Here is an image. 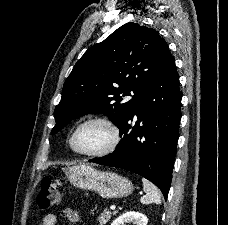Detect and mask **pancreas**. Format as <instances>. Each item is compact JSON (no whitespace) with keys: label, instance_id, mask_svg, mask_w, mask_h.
<instances>
[{"label":"pancreas","instance_id":"cf45deb5","mask_svg":"<svg viewBox=\"0 0 228 225\" xmlns=\"http://www.w3.org/2000/svg\"><path fill=\"white\" fill-rule=\"evenodd\" d=\"M111 215H116V211H114V213H110V211H107V209H104L103 213H101L98 219L99 225H106V223L110 221Z\"/></svg>","mask_w":228,"mask_h":225}]
</instances>
